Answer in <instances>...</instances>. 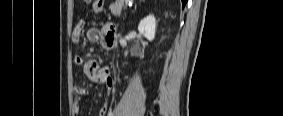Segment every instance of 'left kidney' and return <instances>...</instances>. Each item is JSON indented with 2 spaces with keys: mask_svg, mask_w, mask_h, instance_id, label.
<instances>
[{
  "mask_svg": "<svg viewBox=\"0 0 283 116\" xmlns=\"http://www.w3.org/2000/svg\"><path fill=\"white\" fill-rule=\"evenodd\" d=\"M138 30L148 40L152 41L155 38L156 19L153 15H148L140 21Z\"/></svg>",
  "mask_w": 283,
  "mask_h": 116,
  "instance_id": "left-kidney-1",
  "label": "left kidney"
}]
</instances>
